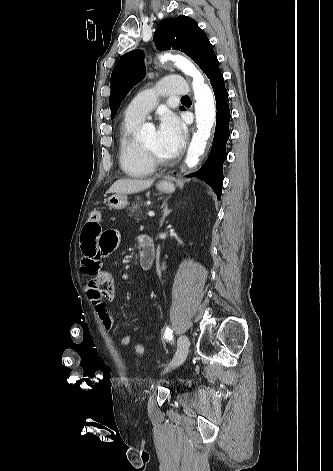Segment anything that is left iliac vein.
<instances>
[{
    "instance_id": "left-iliac-vein-1",
    "label": "left iliac vein",
    "mask_w": 333,
    "mask_h": 471,
    "mask_svg": "<svg viewBox=\"0 0 333 471\" xmlns=\"http://www.w3.org/2000/svg\"><path fill=\"white\" fill-rule=\"evenodd\" d=\"M189 339L185 335H181L177 340V353L174 359V364H182L188 355Z\"/></svg>"
}]
</instances>
